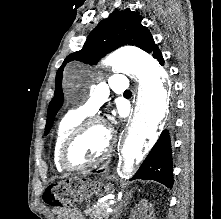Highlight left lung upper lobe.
Here are the masks:
<instances>
[{"label": "left lung upper lobe", "mask_w": 221, "mask_h": 219, "mask_svg": "<svg viewBox=\"0 0 221 219\" xmlns=\"http://www.w3.org/2000/svg\"><path fill=\"white\" fill-rule=\"evenodd\" d=\"M141 21L142 16L130 9L115 11L97 25L80 51L66 57L56 74L55 95L48 107L45 135L49 133L64 101L62 76L66 63L76 60L95 65L100 58L123 45H134L152 53L156 47L154 39Z\"/></svg>", "instance_id": "left-lung-upper-lobe-1"}]
</instances>
